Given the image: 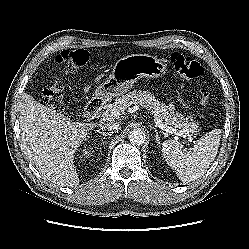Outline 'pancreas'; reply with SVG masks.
Here are the masks:
<instances>
[{
    "label": "pancreas",
    "mask_w": 249,
    "mask_h": 249,
    "mask_svg": "<svg viewBox=\"0 0 249 249\" xmlns=\"http://www.w3.org/2000/svg\"><path fill=\"white\" fill-rule=\"evenodd\" d=\"M132 105H141L153 114H155L166 125L182 129L186 136L197 133L198 126L194 122H190L185 116L174 113L171 105L167 106L163 102L156 99L150 92L133 90L121 98H118L113 107L119 111H124Z\"/></svg>",
    "instance_id": "pancreas-1"
}]
</instances>
